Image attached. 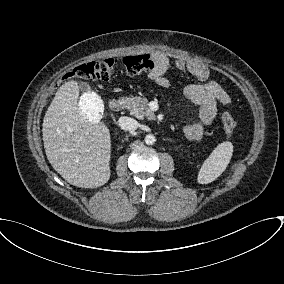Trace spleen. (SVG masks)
Segmentation results:
<instances>
[{
  "label": "spleen",
  "mask_w": 284,
  "mask_h": 284,
  "mask_svg": "<svg viewBox=\"0 0 284 284\" xmlns=\"http://www.w3.org/2000/svg\"><path fill=\"white\" fill-rule=\"evenodd\" d=\"M233 153L231 142H222L204 161L198 173L199 184H208L217 179L227 168Z\"/></svg>",
  "instance_id": "3e777b00"
}]
</instances>
